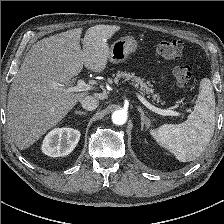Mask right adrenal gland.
Returning <instances> with one entry per match:
<instances>
[{
    "label": "right adrenal gland",
    "mask_w": 224,
    "mask_h": 224,
    "mask_svg": "<svg viewBox=\"0 0 224 224\" xmlns=\"http://www.w3.org/2000/svg\"><path fill=\"white\" fill-rule=\"evenodd\" d=\"M75 114H79V115H86L87 112H83V111H76Z\"/></svg>",
    "instance_id": "1"
}]
</instances>
